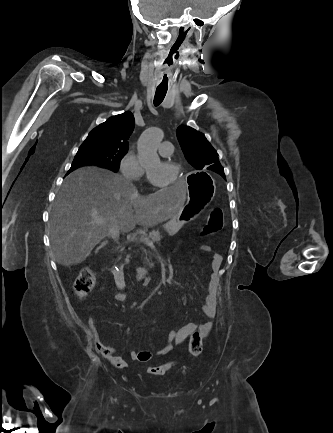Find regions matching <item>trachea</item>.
I'll return each mask as SVG.
<instances>
[{"label":"trachea","mask_w":333,"mask_h":433,"mask_svg":"<svg viewBox=\"0 0 333 433\" xmlns=\"http://www.w3.org/2000/svg\"><path fill=\"white\" fill-rule=\"evenodd\" d=\"M167 87L158 86L154 96V105L158 106L165 98Z\"/></svg>","instance_id":"obj_1"}]
</instances>
